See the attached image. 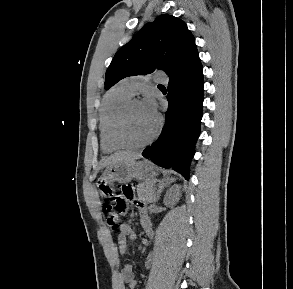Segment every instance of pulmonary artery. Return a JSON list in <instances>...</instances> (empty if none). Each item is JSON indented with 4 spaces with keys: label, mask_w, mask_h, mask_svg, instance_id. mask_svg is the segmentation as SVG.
Listing matches in <instances>:
<instances>
[{
    "label": "pulmonary artery",
    "mask_w": 293,
    "mask_h": 289,
    "mask_svg": "<svg viewBox=\"0 0 293 289\" xmlns=\"http://www.w3.org/2000/svg\"><path fill=\"white\" fill-rule=\"evenodd\" d=\"M153 80L156 82L167 81V79L163 76V73L161 72L154 73ZM146 82L147 78L138 75L127 77L123 79L120 84H122L131 95H134Z\"/></svg>",
    "instance_id": "1"
}]
</instances>
